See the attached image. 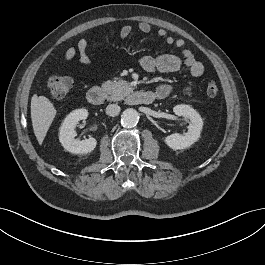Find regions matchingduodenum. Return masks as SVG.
I'll return each instance as SVG.
<instances>
[{
  "instance_id": "duodenum-1",
  "label": "duodenum",
  "mask_w": 265,
  "mask_h": 265,
  "mask_svg": "<svg viewBox=\"0 0 265 265\" xmlns=\"http://www.w3.org/2000/svg\"><path fill=\"white\" fill-rule=\"evenodd\" d=\"M86 98L92 105L99 106L105 101L103 90L94 86L87 91ZM156 100V95L149 91L133 90L126 98L127 103L131 105H150Z\"/></svg>"
}]
</instances>
